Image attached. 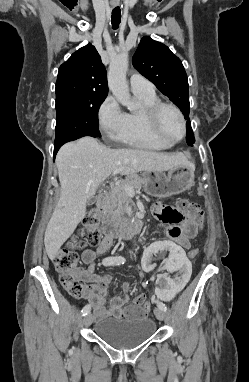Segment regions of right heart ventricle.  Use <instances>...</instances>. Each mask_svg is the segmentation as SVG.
Instances as JSON below:
<instances>
[{
	"label": "right heart ventricle",
	"instance_id": "e07e8e85",
	"mask_svg": "<svg viewBox=\"0 0 249 382\" xmlns=\"http://www.w3.org/2000/svg\"><path fill=\"white\" fill-rule=\"evenodd\" d=\"M142 104L138 111H131L126 114L127 123L124 133L117 139L124 144L145 150H165L172 146V143L158 138L150 129L146 120L144 109L158 101L155 93L144 94L134 93Z\"/></svg>",
	"mask_w": 249,
	"mask_h": 382
}]
</instances>
